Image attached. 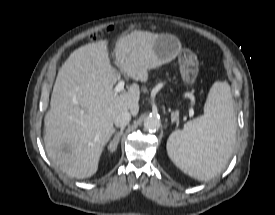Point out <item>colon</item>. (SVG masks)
<instances>
[{"label": "colon", "instance_id": "5ec220e1", "mask_svg": "<svg viewBox=\"0 0 275 215\" xmlns=\"http://www.w3.org/2000/svg\"><path fill=\"white\" fill-rule=\"evenodd\" d=\"M100 36H101V33H100V32H95V33H93L90 37H91L92 39H98Z\"/></svg>", "mask_w": 275, "mask_h": 215}]
</instances>
